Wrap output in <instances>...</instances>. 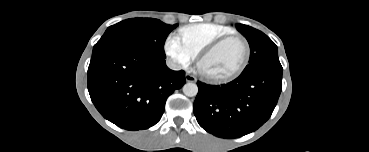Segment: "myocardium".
<instances>
[{"instance_id": "myocardium-1", "label": "myocardium", "mask_w": 369, "mask_h": 152, "mask_svg": "<svg viewBox=\"0 0 369 152\" xmlns=\"http://www.w3.org/2000/svg\"><path fill=\"white\" fill-rule=\"evenodd\" d=\"M234 39H238L240 40L245 48V55H244V59L241 63V65L232 73L225 75V76H214V75H210L208 73H206L205 71L202 70V63L203 61L210 56L211 54H213L215 51H217L222 45H224L226 42L230 41V40H234ZM250 55H251V49H250V45L249 42L247 41V39L245 37H243L240 34H229V35H225L222 36L220 38H218L217 40L213 41L211 44H209L208 46H206L200 53L199 55V59H198V69L201 73V75L206 78L208 81L212 82V83H226V82H230L234 79H236L238 76H240L243 71L246 69L249 60H250Z\"/></svg>"}]
</instances>
